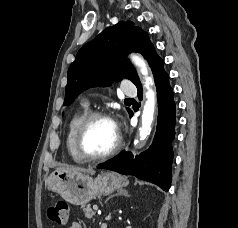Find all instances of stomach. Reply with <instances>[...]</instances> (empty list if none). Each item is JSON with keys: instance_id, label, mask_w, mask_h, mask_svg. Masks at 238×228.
Listing matches in <instances>:
<instances>
[{"instance_id": "0dacf381", "label": "stomach", "mask_w": 238, "mask_h": 228, "mask_svg": "<svg viewBox=\"0 0 238 228\" xmlns=\"http://www.w3.org/2000/svg\"><path fill=\"white\" fill-rule=\"evenodd\" d=\"M128 181L112 172H102L95 178L82 172L53 171L45 181L48 190L58 193L73 205H85L92 199L126 186Z\"/></svg>"}]
</instances>
